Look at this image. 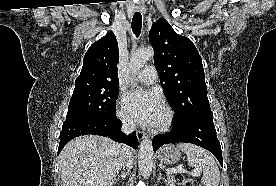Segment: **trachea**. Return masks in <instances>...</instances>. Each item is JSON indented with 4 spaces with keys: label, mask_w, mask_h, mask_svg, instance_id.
<instances>
[{
    "label": "trachea",
    "mask_w": 276,
    "mask_h": 186,
    "mask_svg": "<svg viewBox=\"0 0 276 186\" xmlns=\"http://www.w3.org/2000/svg\"><path fill=\"white\" fill-rule=\"evenodd\" d=\"M142 28V15L140 12H135L132 18V30L136 37H139Z\"/></svg>",
    "instance_id": "trachea-1"
}]
</instances>
